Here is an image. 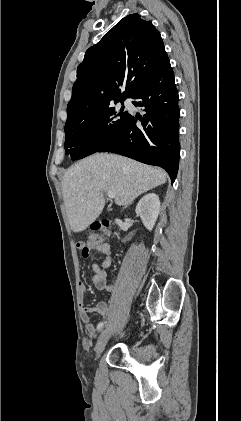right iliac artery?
<instances>
[{
  "instance_id": "1",
  "label": "right iliac artery",
  "mask_w": 241,
  "mask_h": 421,
  "mask_svg": "<svg viewBox=\"0 0 241 421\" xmlns=\"http://www.w3.org/2000/svg\"><path fill=\"white\" fill-rule=\"evenodd\" d=\"M104 325H105V322L99 323L97 326L98 331H100L104 327Z\"/></svg>"
}]
</instances>
